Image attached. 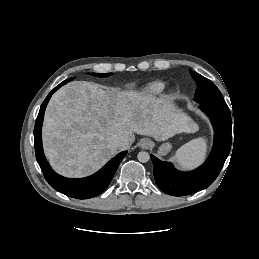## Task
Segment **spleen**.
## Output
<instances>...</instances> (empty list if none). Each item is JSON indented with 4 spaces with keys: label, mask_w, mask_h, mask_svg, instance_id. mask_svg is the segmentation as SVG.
I'll return each instance as SVG.
<instances>
[{
    "label": "spleen",
    "mask_w": 259,
    "mask_h": 259,
    "mask_svg": "<svg viewBox=\"0 0 259 259\" xmlns=\"http://www.w3.org/2000/svg\"><path fill=\"white\" fill-rule=\"evenodd\" d=\"M207 152V142L204 138L194 139L181 146L173 159L185 169H189L200 164Z\"/></svg>",
    "instance_id": "spleen-1"
}]
</instances>
